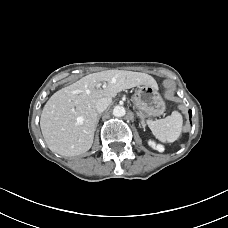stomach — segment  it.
<instances>
[{
	"label": "stomach",
	"mask_w": 228,
	"mask_h": 228,
	"mask_svg": "<svg viewBox=\"0 0 228 228\" xmlns=\"http://www.w3.org/2000/svg\"><path fill=\"white\" fill-rule=\"evenodd\" d=\"M134 106L146 116H159L165 111V102L158 92V88L144 85L138 88L132 96Z\"/></svg>",
	"instance_id": "1"
}]
</instances>
